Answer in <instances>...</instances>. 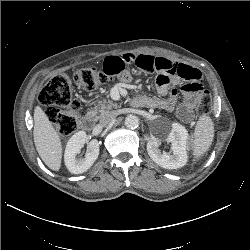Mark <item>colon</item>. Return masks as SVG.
Returning a JSON list of instances; mask_svg holds the SVG:
<instances>
[{
	"instance_id": "colon-1",
	"label": "colon",
	"mask_w": 250,
	"mask_h": 250,
	"mask_svg": "<svg viewBox=\"0 0 250 250\" xmlns=\"http://www.w3.org/2000/svg\"><path fill=\"white\" fill-rule=\"evenodd\" d=\"M113 77L114 75L103 69L86 67L73 74V81L87 91H94ZM39 101L47 108V116L60 134L70 135L76 130L80 103L74 96L69 75L62 73L52 77L41 90ZM211 109V95L208 91L202 90L198 96L197 112L206 115Z\"/></svg>"
}]
</instances>
